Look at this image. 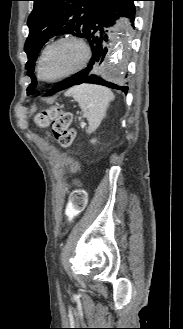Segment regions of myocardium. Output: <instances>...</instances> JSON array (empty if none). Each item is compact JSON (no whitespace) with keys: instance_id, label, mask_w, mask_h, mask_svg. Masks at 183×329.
I'll use <instances>...</instances> for the list:
<instances>
[{"instance_id":"1","label":"myocardium","mask_w":183,"mask_h":329,"mask_svg":"<svg viewBox=\"0 0 183 329\" xmlns=\"http://www.w3.org/2000/svg\"><path fill=\"white\" fill-rule=\"evenodd\" d=\"M68 40H72V41L79 43L81 45V47L83 48L84 57H83L82 62L76 68H74L60 76H57L55 78H46L43 75V62H44V58H45L47 52L55 45H57L61 42H64V41H68ZM90 58H91V49L83 38L76 36V35H71V34L59 37L56 40L52 41L50 44H48L42 51L40 58H39V65H38L39 77L45 82H57V81L64 80V79L82 71L89 63Z\"/></svg>"}]
</instances>
